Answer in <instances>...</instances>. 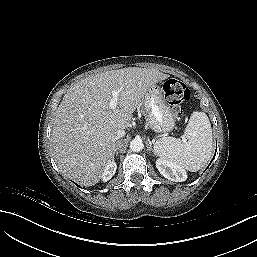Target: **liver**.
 Returning <instances> with one entry per match:
<instances>
[{
    "mask_svg": "<svg viewBox=\"0 0 257 257\" xmlns=\"http://www.w3.org/2000/svg\"><path fill=\"white\" fill-rule=\"evenodd\" d=\"M168 77L157 69L128 67L74 84L56 110L51 134L61 172L84 186L98 183L114 158L112 135L128 127L146 91ZM112 91L119 92L115 109L109 108Z\"/></svg>",
    "mask_w": 257,
    "mask_h": 257,
    "instance_id": "obj_1",
    "label": "liver"
}]
</instances>
